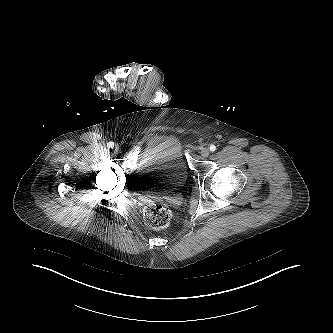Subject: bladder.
Masks as SVG:
<instances>
[{
  "label": "bladder",
  "mask_w": 333,
  "mask_h": 333,
  "mask_svg": "<svg viewBox=\"0 0 333 333\" xmlns=\"http://www.w3.org/2000/svg\"><path fill=\"white\" fill-rule=\"evenodd\" d=\"M187 177L183 140L176 134H167L143 156L134 180L139 192L167 194L180 189Z\"/></svg>",
  "instance_id": "obj_1"
}]
</instances>
